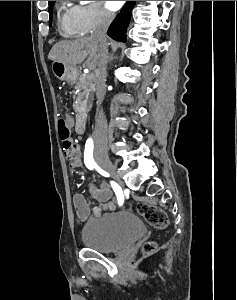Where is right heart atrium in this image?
I'll return each mask as SVG.
<instances>
[{
    "instance_id": "1",
    "label": "right heart atrium",
    "mask_w": 237,
    "mask_h": 300,
    "mask_svg": "<svg viewBox=\"0 0 237 300\" xmlns=\"http://www.w3.org/2000/svg\"><path fill=\"white\" fill-rule=\"evenodd\" d=\"M75 25L80 34H89L95 29L107 26L114 20V13L101 1L73 6Z\"/></svg>"
}]
</instances>
